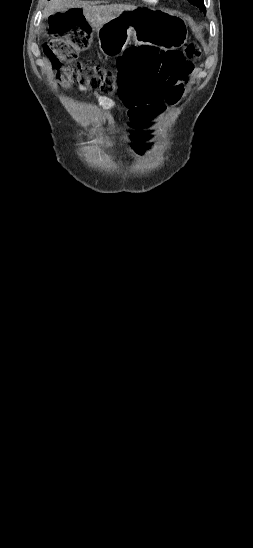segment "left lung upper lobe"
<instances>
[{
  "label": "left lung upper lobe",
  "instance_id": "left-lung-upper-lobe-1",
  "mask_svg": "<svg viewBox=\"0 0 253 548\" xmlns=\"http://www.w3.org/2000/svg\"><path fill=\"white\" fill-rule=\"evenodd\" d=\"M191 4L199 7H205L203 0H188Z\"/></svg>",
  "mask_w": 253,
  "mask_h": 548
}]
</instances>
